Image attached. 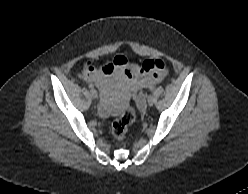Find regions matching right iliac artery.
Masks as SVG:
<instances>
[{
	"label": "right iliac artery",
	"instance_id": "obj_1",
	"mask_svg": "<svg viewBox=\"0 0 248 194\" xmlns=\"http://www.w3.org/2000/svg\"><path fill=\"white\" fill-rule=\"evenodd\" d=\"M88 87H89V89H91V90L94 89V85H93V84H89Z\"/></svg>",
	"mask_w": 248,
	"mask_h": 194
}]
</instances>
